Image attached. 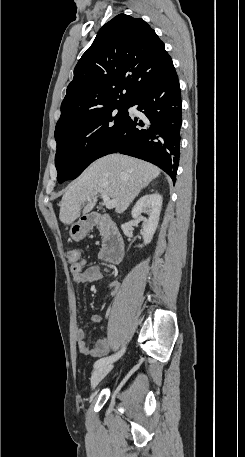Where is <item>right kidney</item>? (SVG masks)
<instances>
[{
    "label": "right kidney",
    "instance_id": "ca27d5eb",
    "mask_svg": "<svg viewBox=\"0 0 245 457\" xmlns=\"http://www.w3.org/2000/svg\"><path fill=\"white\" fill-rule=\"evenodd\" d=\"M162 208V196L159 192H153V194H144L132 208V216L135 220H143V239L144 245L151 243L152 237L157 229L158 220ZM142 212L148 214V218L142 216ZM143 247V245H139Z\"/></svg>",
    "mask_w": 245,
    "mask_h": 457
}]
</instances>
